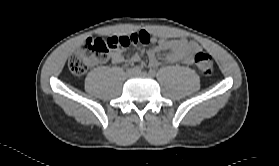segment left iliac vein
<instances>
[{
	"mask_svg": "<svg viewBox=\"0 0 279 166\" xmlns=\"http://www.w3.org/2000/svg\"><path fill=\"white\" fill-rule=\"evenodd\" d=\"M137 76H150V74H148L147 72H139L136 73Z\"/></svg>",
	"mask_w": 279,
	"mask_h": 166,
	"instance_id": "left-iliac-vein-1",
	"label": "left iliac vein"
}]
</instances>
